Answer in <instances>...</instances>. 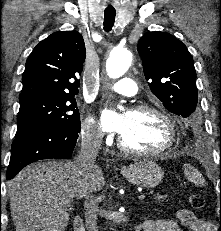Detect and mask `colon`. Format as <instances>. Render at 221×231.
I'll list each match as a JSON object with an SVG mask.
<instances>
[{
    "label": "colon",
    "mask_w": 221,
    "mask_h": 231,
    "mask_svg": "<svg viewBox=\"0 0 221 231\" xmlns=\"http://www.w3.org/2000/svg\"><path fill=\"white\" fill-rule=\"evenodd\" d=\"M189 202L193 208L200 209L204 207V199L199 194H193L189 197Z\"/></svg>",
    "instance_id": "obj_1"
}]
</instances>
